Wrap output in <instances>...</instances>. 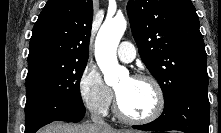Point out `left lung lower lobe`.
<instances>
[{
	"instance_id": "0a47b994",
	"label": "left lung lower lobe",
	"mask_w": 221,
	"mask_h": 133,
	"mask_svg": "<svg viewBox=\"0 0 221 133\" xmlns=\"http://www.w3.org/2000/svg\"><path fill=\"white\" fill-rule=\"evenodd\" d=\"M210 105L207 86L183 89L155 121L135 129L150 131L179 130L185 133H209Z\"/></svg>"
}]
</instances>
